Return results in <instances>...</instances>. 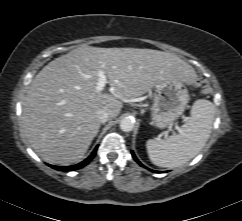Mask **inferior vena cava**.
Masks as SVG:
<instances>
[{"instance_id":"inferior-vena-cava-1","label":"inferior vena cava","mask_w":242,"mask_h":221,"mask_svg":"<svg viewBox=\"0 0 242 221\" xmlns=\"http://www.w3.org/2000/svg\"><path fill=\"white\" fill-rule=\"evenodd\" d=\"M96 114L101 123H105L109 120V113L105 110H98Z\"/></svg>"}]
</instances>
